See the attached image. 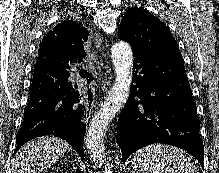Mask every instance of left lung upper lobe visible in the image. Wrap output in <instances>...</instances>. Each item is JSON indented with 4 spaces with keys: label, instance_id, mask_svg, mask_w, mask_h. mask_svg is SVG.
<instances>
[{
    "label": "left lung upper lobe",
    "instance_id": "1",
    "mask_svg": "<svg viewBox=\"0 0 219 173\" xmlns=\"http://www.w3.org/2000/svg\"><path fill=\"white\" fill-rule=\"evenodd\" d=\"M118 34L119 39L130 43L133 52L183 59L169 28L142 8H130L125 12Z\"/></svg>",
    "mask_w": 219,
    "mask_h": 173
}]
</instances>
